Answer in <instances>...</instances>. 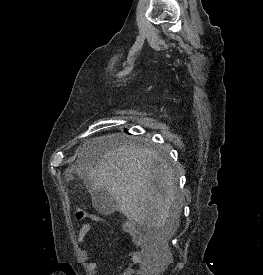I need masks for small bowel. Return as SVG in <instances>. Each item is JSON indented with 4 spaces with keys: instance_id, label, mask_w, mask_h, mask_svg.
Returning <instances> with one entry per match:
<instances>
[{
    "instance_id": "1",
    "label": "small bowel",
    "mask_w": 263,
    "mask_h": 275,
    "mask_svg": "<svg viewBox=\"0 0 263 275\" xmlns=\"http://www.w3.org/2000/svg\"><path fill=\"white\" fill-rule=\"evenodd\" d=\"M90 229V224H85L81 227L77 235L78 244H82L85 241ZM130 232L133 236L134 243L138 247V250L132 254V263L138 268L134 269L133 267H129L126 270L125 275H150L151 266L148 256V247L139 232L133 229H131ZM86 270L90 275H95L97 272V263L86 261Z\"/></svg>"
}]
</instances>
